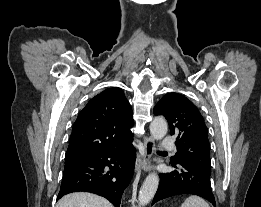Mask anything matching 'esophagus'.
Segmentation results:
<instances>
[{"instance_id":"34e87169","label":"esophagus","mask_w":261,"mask_h":207,"mask_svg":"<svg viewBox=\"0 0 261 207\" xmlns=\"http://www.w3.org/2000/svg\"><path fill=\"white\" fill-rule=\"evenodd\" d=\"M145 153L142 159L136 160L135 169L138 170L140 167L144 171H148L151 165V159L154 154L155 144L151 137L144 138Z\"/></svg>"}]
</instances>
